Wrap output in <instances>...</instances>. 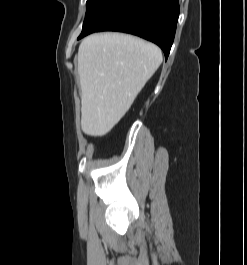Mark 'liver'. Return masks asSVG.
Here are the masks:
<instances>
[{"label": "liver", "mask_w": 247, "mask_h": 265, "mask_svg": "<svg viewBox=\"0 0 247 265\" xmlns=\"http://www.w3.org/2000/svg\"><path fill=\"white\" fill-rule=\"evenodd\" d=\"M161 63L159 47L140 38L110 32L86 37L78 49L82 131L107 134Z\"/></svg>", "instance_id": "obj_1"}]
</instances>
